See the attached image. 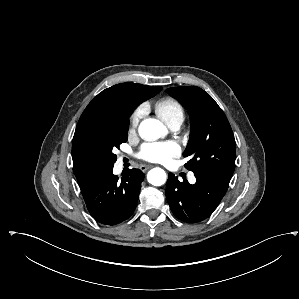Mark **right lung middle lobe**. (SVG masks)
<instances>
[{"label": "right lung middle lobe", "instance_id": "1", "mask_svg": "<svg viewBox=\"0 0 299 299\" xmlns=\"http://www.w3.org/2000/svg\"><path fill=\"white\" fill-rule=\"evenodd\" d=\"M131 113H120L106 118L72 145L74 170L78 184L97 177L114 166V148L127 141Z\"/></svg>", "mask_w": 299, "mask_h": 299}]
</instances>
